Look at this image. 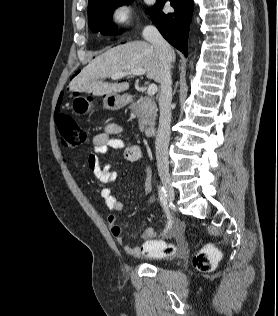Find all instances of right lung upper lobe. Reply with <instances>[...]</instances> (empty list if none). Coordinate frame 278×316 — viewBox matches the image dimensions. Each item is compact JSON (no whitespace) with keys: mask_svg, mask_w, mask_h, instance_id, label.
Here are the masks:
<instances>
[{"mask_svg":"<svg viewBox=\"0 0 278 316\" xmlns=\"http://www.w3.org/2000/svg\"><path fill=\"white\" fill-rule=\"evenodd\" d=\"M103 1H107V0H89V2H88V11L90 9H92L93 7H95L97 4H99L100 2H103Z\"/></svg>","mask_w":278,"mask_h":316,"instance_id":"cb5924a9","label":"right lung upper lobe"}]
</instances>
